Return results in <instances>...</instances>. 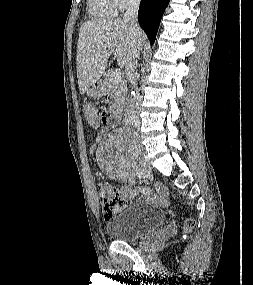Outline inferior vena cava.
Listing matches in <instances>:
<instances>
[{
    "label": "inferior vena cava",
    "mask_w": 253,
    "mask_h": 285,
    "mask_svg": "<svg viewBox=\"0 0 253 285\" xmlns=\"http://www.w3.org/2000/svg\"><path fill=\"white\" fill-rule=\"evenodd\" d=\"M140 0H129L127 11L123 16V20L125 22H129L133 26L137 25V15L139 9ZM142 50V46L137 44L136 48L133 50L131 57L128 59L126 63V76L128 81L131 83L132 88L135 89V93L130 103L127 105L126 113L129 116L130 123L138 122V109L140 102L139 91L136 88L137 82V74L136 68L138 65V59L140 57V51Z\"/></svg>",
    "instance_id": "602c4592"
}]
</instances>
